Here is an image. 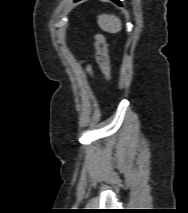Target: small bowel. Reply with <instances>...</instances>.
Wrapping results in <instances>:
<instances>
[{"instance_id": "obj_1", "label": "small bowel", "mask_w": 188, "mask_h": 213, "mask_svg": "<svg viewBox=\"0 0 188 213\" xmlns=\"http://www.w3.org/2000/svg\"><path fill=\"white\" fill-rule=\"evenodd\" d=\"M86 72L88 73V75L92 76L93 69L90 64H86Z\"/></svg>"}]
</instances>
